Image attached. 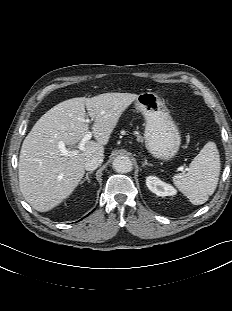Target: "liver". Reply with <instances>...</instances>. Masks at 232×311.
<instances>
[{
    "instance_id": "6515ba94",
    "label": "liver",
    "mask_w": 232,
    "mask_h": 311,
    "mask_svg": "<svg viewBox=\"0 0 232 311\" xmlns=\"http://www.w3.org/2000/svg\"><path fill=\"white\" fill-rule=\"evenodd\" d=\"M137 97L131 93H104L68 99L35 123L23 141L18 164L20 191L35 210L47 212L74 191L84 176L85 162L94 156H104V145L119 118ZM85 108L94 120L95 141H88L82 151L63 155L58 146L60 141L74 146L89 130Z\"/></svg>"
}]
</instances>
